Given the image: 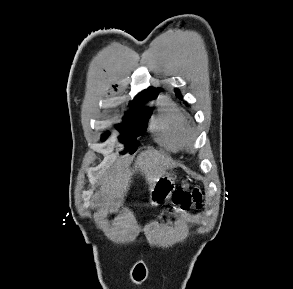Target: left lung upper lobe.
I'll use <instances>...</instances> for the list:
<instances>
[{
	"instance_id": "obj_1",
	"label": "left lung upper lobe",
	"mask_w": 293,
	"mask_h": 289,
	"mask_svg": "<svg viewBox=\"0 0 293 289\" xmlns=\"http://www.w3.org/2000/svg\"><path fill=\"white\" fill-rule=\"evenodd\" d=\"M177 96L180 97V92L176 90Z\"/></svg>"
}]
</instances>
